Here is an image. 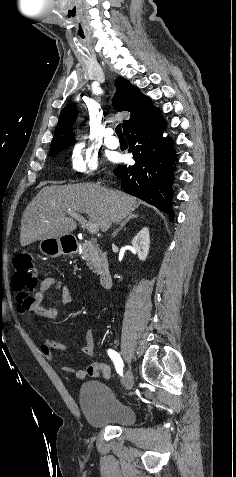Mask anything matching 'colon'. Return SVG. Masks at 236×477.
Returning a JSON list of instances; mask_svg holds the SVG:
<instances>
[{
	"label": "colon",
	"mask_w": 236,
	"mask_h": 477,
	"mask_svg": "<svg viewBox=\"0 0 236 477\" xmlns=\"http://www.w3.org/2000/svg\"><path fill=\"white\" fill-rule=\"evenodd\" d=\"M14 268L13 287L17 292L18 305H27L31 302L29 291L38 283V269L34 257L29 253L17 255Z\"/></svg>",
	"instance_id": "colon-1"
}]
</instances>
